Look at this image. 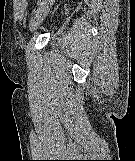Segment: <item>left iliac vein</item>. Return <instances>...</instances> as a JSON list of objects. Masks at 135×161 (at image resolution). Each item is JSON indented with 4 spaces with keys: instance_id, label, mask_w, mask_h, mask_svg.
<instances>
[{
    "instance_id": "1",
    "label": "left iliac vein",
    "mask_w": 135,
    "mask_h": 161,
    "mask_svg": "<svg viewBox=\"0 0 135 161\" xmlns=\"http://www.w3.org/2000/svg\"><path fill=\"white\" fill-rule=\"evenodd\" d=\"M55 0H42L41 4L35 10L29 22L30 31L38 29L46 15L48 14L52 4Z\"/></svg>"
}]
</instances>
